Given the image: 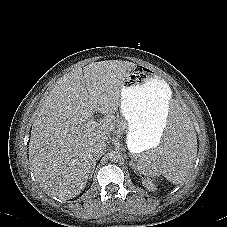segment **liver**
<instances>
[{
	"label": "liver",
	"instance_id": "1",
	"mask_svg": "<svg viewBox=\"0 0 227 227\" xmlns=\"http://www.w3.org/2000/svg\"><path fill=\"white\" fill-rule=\"evenodd\" d=\"M135 64L122 60L91 63L61 77L42 99L29 141V162L41 186L71 199L86 187L93 168L92 147L108 141L119 121L122 84ZM94 112L104 118L91 130Z\"/></svg>",
	"mask_w": 227,
	"mask_h": 227
}]
</instances>
